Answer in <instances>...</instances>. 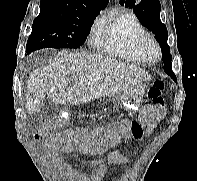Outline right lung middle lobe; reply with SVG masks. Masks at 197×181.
Wrapping results in <instances>:
<instances>
[{"label":"right lung middle lobe","instance_id":"dd1d6c3e","mask_svg":"<svg viewBox=\"0 0 197 181\" xmlns=\"http://www.w3.org/2000/svg\"><path fill=\"white\" fill-rule=\"evenodd\" d=\"M98 14L65 16L40 12L33 21L27 53L42 48H79L86 40Z\"/></svg>","mask_w":197,"mask_h":181}]
</instances>
